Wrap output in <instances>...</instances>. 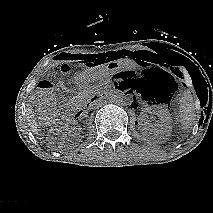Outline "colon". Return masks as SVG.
<instances>
[{"label": "colon", "instance_id": "obj_1", "mask_svg": "<svg viewBox=\"0 0 213 213\" xmlns=\"http://www.w3.org/2000/svg\"><path fill=\"white\" fill-rule=\"evenodd\" d=\"M60 70L64 74H68L70 73L71 68L67 64H64L60 67ZM52 88L53 85L49 81L44 80L39 83V103L44 112L51 111L54 106Z\"/></svg>", "mask_w": 213, "mask_h": 213}]
</instances>
